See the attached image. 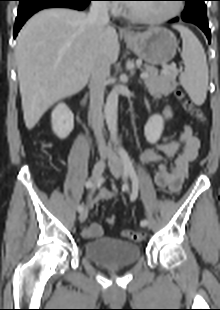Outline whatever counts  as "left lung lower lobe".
<instances>
[{
	"instance_id": "obj_1",
	"label": "left lung lower lobe",
	"mask_w": 220,
	"mask_h": 310,
	"mask_svg": "<svg viewBox=\"0 0 220 310\" xmlns=\"http://www.w3.org/2000/svg\"><path fill=\"white\" fill-rule=\"evenodd\" d=\"M184 22H188V23H192L197 25L207 36L209 43L211 42V33H210V29L208 27V21H204V20H192V19H184L181 18ZM179 20V18H175L169 21V23H173V22H177Z\"/></svg>"
}]
</instances>
